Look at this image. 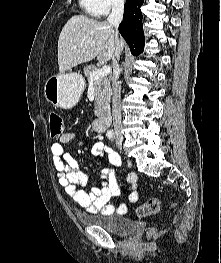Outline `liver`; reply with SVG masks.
<instances>
[{
    "mask_svg": "<svg viewBox=\"0 0 221 263\" xmlns=\"http://www.w3.org/2000/svg\"><path fill=\"white\" fill-rule=\"evenodd\" d=\"M115 48V33L108 22L74 15L64 25L59 36V71L64 73L95 57L99 61H109L115 55Z\"/></svg>",
    "mask_w": 221,
    "mask_h": 263,
    "instance_id": "1",
    "label": "liver"
}]
</instances>
